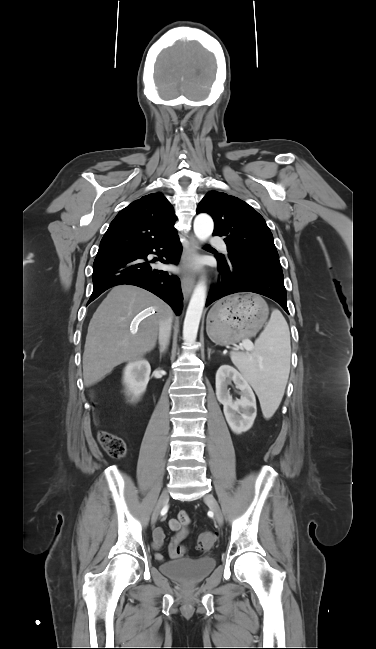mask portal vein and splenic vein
<instances>
[{"instance_id": "portal-vein-and-splenic-vein-1", "label": "portal vein and splenic vein", "mask_w": 376, "mask_h": 649, "mask_svg": "<svg viewBox=\"0 0 376 649\" xmlns=\"http://www.w3.org/2000/svg\"><path fill=\"white\" fill-rule=\"evenodd\" d=\"M242 346H243L245 349L250 350L251 347H252V344H251V342H250L249 340H245V341H243Z\"/></svg>"}]
</instances>
